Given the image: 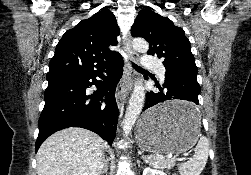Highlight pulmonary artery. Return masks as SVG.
Returning <instances> with one entry per match:
<instances>
[{"instance_id":"obj_1","label":"pulmonary artery","mask_w":251,"mask_h":175,"mask_svg":"<svg viewBox=\"0 0 251 175\" xmlns=\"http://www.w3.org/2000/svg\"><path fill=\"white\" fill-rule=\"evenodd\" d=\"M140 62L143 63L145 70H157V75L163 80L165 77L166 65L159 62V58H153L152 55H142Z\"/></svg>"}]
</instances>
